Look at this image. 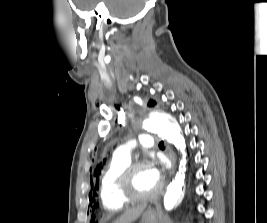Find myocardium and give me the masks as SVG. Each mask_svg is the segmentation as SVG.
<instances>
[{
  "label": "myocardium",
  "instance_id": "1",
  "mask_svg": "<svg viewBox=\"0 0 267 223\" xmlns=\"http://www.w3.org/2000/svg\"><path fill=\"white\" fill-rule=\"evenodd\" d=\"M147 159H138L130 162V164L123 170L118 179V191L124 202H146L155 199L161 192L162 185L159 184L158 188L148 194H137L132 189V180L134 174L142 167H149Z\"/></svg>",
  "mask_w": 267,
  "mask_h": 223
}]
</instances>
